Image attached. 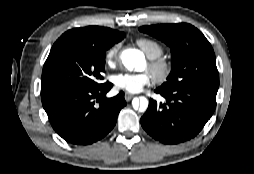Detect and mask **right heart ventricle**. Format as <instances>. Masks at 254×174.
<instances>
[{
    "label": "right heart ventricle",
    "mask_w": 254,
    "mask_h": 174,
    "mask_svg": "<svg viewBox=\"0 0 254 174\" xmlns=\"http://www.w3.org/2000/svg\"><path fill=\"white\" fill-rule=\"evenodd\" d=\"M136 44L149 59L160 57L164 53L163 46L156 40L146 37L136 39Z\"/></svg>",
    "instance_id": "1"
}]
</instances>
